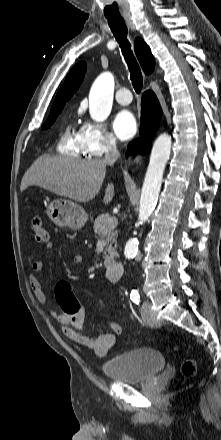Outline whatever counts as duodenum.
Returning a JSON list of instances; mask_svg holds the SVG:
<instances>
[{"instance_id":"410a0bca","label":"duodenum","mask_w":221,"mask_h":440,"mask_svg":"<svg viewBox=\"0 0 221 440\" xmlns=\"http://www.w3.org/2000/svg\"><path fill=\"white\" fill-rule=\"evenodd\" d=\"M124 268L119 262H110L106 266V276L111 281H118L123 276Z\"/></svg>"}]
</instances>
